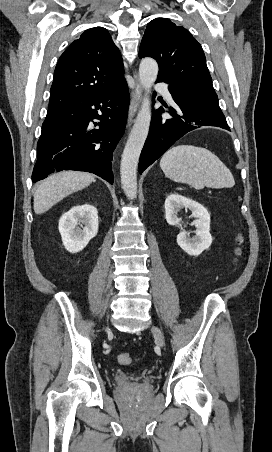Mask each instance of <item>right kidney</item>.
Listing matches in <instances>:
<instances>
[{"label": "right kidney", "instance_id": "right-kidney-1", "mask_svg": "<svg viewBox=\"0 0 272 452\" xmlns=\"http://www.w3.org/2000/svg\"><path fill=\"white\" fill-rule=\"evenodd\" d=\"M78 225H84L81 229ZM98 211L90 204L77 205L64 213L59 220V232L67 251L83 250L98 233Z\"/></svg>", "mask_w": 272, "mask_h": 452}]
</instances>
